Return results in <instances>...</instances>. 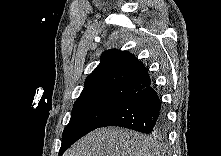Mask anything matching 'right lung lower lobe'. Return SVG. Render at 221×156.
<instances>
[{"label": "right lung lower lobe", "mask_w": 221, "mask_h": 156, "mask_svg": "<svg viewBox=\"0 0 221 156\" xmlns=\"http://www.w3.org/2000/svg\"><path fill=\"white\" fill-rule=\"evenodd\" d=\"M119 126L146 134H160L166 128V115L156 91L151 87L132 95L100 125Z\"/></svg>", "instance_id": "98d812e1"}]
</instances>
